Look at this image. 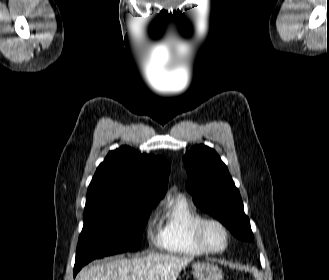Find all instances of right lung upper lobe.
I'll use <instances>...</instances> for the list:
<instances>
[{"instance_id":"obj_1","label":"right lung upper lobe","mask_w":329,"mask_h":280,"mask_svg":"<svg viewBox=\"0 0 329 280\" xmlns=\"http://www.w3.org/2000/svg\"><path fill=\"white\" fill-rule=\"evenodd\" d=\"M169 172L164 157L139 154L128 146L110 151L88 187L84 213L116 199H161Z\"/></svg>"}]
</instances>
